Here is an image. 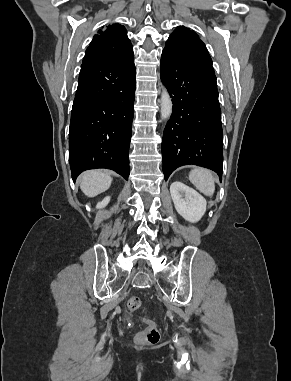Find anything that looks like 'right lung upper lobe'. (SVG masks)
<instances>
[{
	"instance_id": "cb5924a9",
	"label": "right lung upper lobe",
	"mask_w": 291,
	"mask_h": 381,
	"mask_svg": "<svg viewBox=\"0 0 291 381\" xmlns=\"http://www.w3.org/2000/svg\"><path fill=\"white\" fill-rule=\"evenodd\" d=\"M132 51V44L127 37L125 27L115 23L94 36L83 61L119 58Z\"/></svg>"
}]
</instances>
